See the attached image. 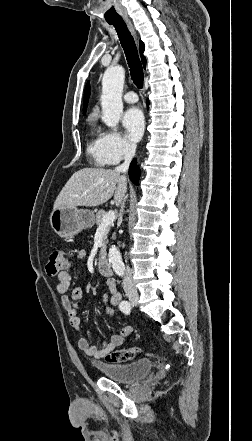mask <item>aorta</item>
<instances>
[{"label":"aorta","mask_w":252,"mask_h":441,"mask_svg":"<svg viewBox=\"0 0 252 441\" xmlns=\"http://www.w3.org/2000/svg\"><path fill=\"white\" fill-rule=\"evenodd\" d=\"M125 79V70L121 66L109 67L102 79V120L113 129H116L123 112L122 93ZM109 262L116 274L121 275L125 266L120 251L116 246L109 249Z\"/></svg>","instance_id":"1"}]
</instances>
